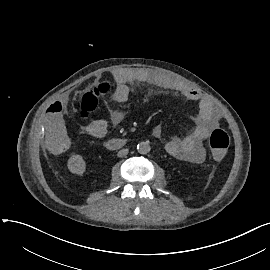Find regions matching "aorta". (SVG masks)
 <instances>
[{
    "label": "aorta",
    "mask_w": 270,
    "mask_h": 270,
    "mask_svg": "<svg viewBox=\"0 0 270 270\" xmlns=\"http://www.w3.org/2000/svg\"><path fill=\"white\" fill-rule=\"evenodd\" d=\"M151 147L149 145V142H140L138 145H137V151L140 153V154H148L149 151H150Z\"/></svg>",
    "instance_id": "1"
}]
</instances>
